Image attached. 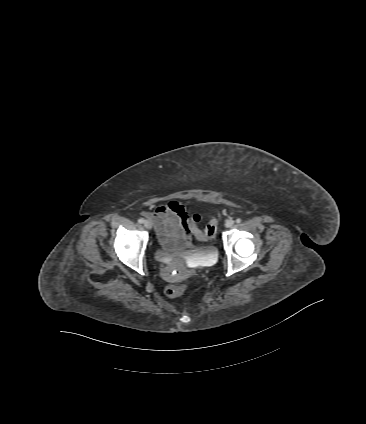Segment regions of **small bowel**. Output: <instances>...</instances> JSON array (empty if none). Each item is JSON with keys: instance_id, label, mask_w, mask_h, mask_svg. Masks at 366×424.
Masks as SVG:
<instances>
[{"instance_id": "obj_1", "label": "small bowel", "mask_w": 366, "mask_h": 424, "mask_svg": "<svg viewBox=\"0 0 366 424\" xmlns=\"http://www.w3.org/2000/svg\"><path fill=\"white\" fill-rule=\"evenodd\" d=\"M145 216L154 224L161 244L167 248L184 247L189 244L190 236L184 225L187 217L182 204L172 200L158 205Z\"/></svg>"}]
</instances>
